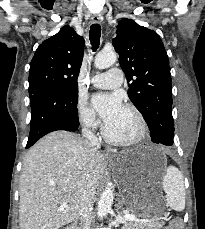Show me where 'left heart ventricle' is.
Listing matches in <instances>:
<instances>
[{
    "label": "left heart ventricle",
    "instance_id": "left-heart-ventricle-1",
    "mask_svg": "<svg viewBox=\"0 0 205 229\" xmlns=\"http://www.w3.org/2000/svg\"><path fill=\"white\" fill-rule=\"evenodd\" d=\"M108 133L115 138H130L138 130V123L132 112L123 107L118 116L106 124Z\"/></svg>",
    "mask_w": 205,
    "mask_h": 229
}]
</instances>
